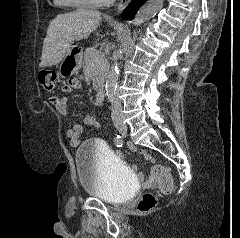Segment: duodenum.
<instances>
[{"label":"duodenum","mask_w":240,"mask_h":238,"mask_svg":"<svg viewBox=\"0 0 240 238\" xmlns=\"http://www.w3.org/2000/svg\"><path fill=\"white\" fill-rule=\"evenodd\" d=\"M104 97H105V87L100 86L96 94V102L97 103L102 102Z\"/></svg>","instance_id":"1"}]
</instances>
